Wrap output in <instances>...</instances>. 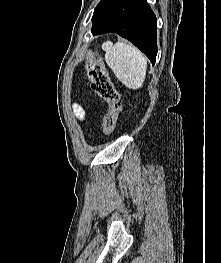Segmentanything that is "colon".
Instances as JSON below:
<instances>
[{
	"instance_id": "colon-1",
	"label": "colon",
	"mask_w": 221,
	"mask_h": 263,
	"mask_svg": "<svg viewBox=\"0 0 221 263\" xmlns=\"http://www.w3.org/2000/svg\"><path fill=\"white\" fill-rule=\"evenodd\" d=\"M86 69L91 89L107 105L103 132L105 135H110L117 126L122 109L120 94L100 60L94 56H90L86 63Z\"/></svg>"
}]
</instances>
